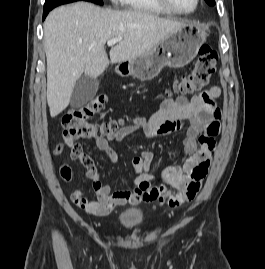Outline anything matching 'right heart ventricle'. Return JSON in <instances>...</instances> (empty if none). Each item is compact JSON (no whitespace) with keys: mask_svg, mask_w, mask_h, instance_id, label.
<instances>
[{"mask_svg":"<svg viewBox=\"0 0 265 269\" xmlns=\"http://www.w3.org/2000/svg\"><path fill=\"white\" fill-rule=\"evenodd\" d=\"M120 2L122 6L130 10L150 13H170L156 0H120Z\"/></svg>","mask_w":265,"mask_h":269,"instance_id":"right-heart-ventricle-1","label":"right heart ventricle"}]
</instances>
